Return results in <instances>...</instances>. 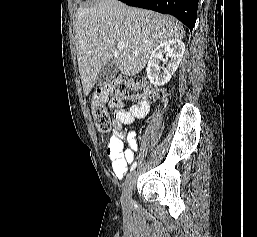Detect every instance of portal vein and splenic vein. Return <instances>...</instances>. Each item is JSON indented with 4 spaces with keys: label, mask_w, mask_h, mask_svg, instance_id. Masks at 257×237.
Listing matches in <instances>:
<instances>
[{
    "label": "portal vein and splenic vein",
    "mask_w": 257,
    "mask_h": 237,
    "mask_svg": "<svg viewBox=\"0 0 257 237\" xmlns=\"http://www.w3.org/2000/svg\"><path fill=\"white\" fill-rule=\"evenodd\" d=\"M117 48L119 50H123V49L126 48V45H125V43L123 41H118Z\"/></svg>",
    "instance_id": "portal-vein-and-splenic-vein-1"
}]
</instances>
